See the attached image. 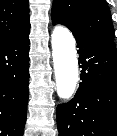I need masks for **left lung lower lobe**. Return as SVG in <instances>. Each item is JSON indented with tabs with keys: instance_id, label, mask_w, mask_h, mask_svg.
Listing matches in <instances>:
<instances>
[{
	"instance_id": "left-lung-lower-lobe-1",
	"label": "left lung lower lobe",
	"mask_w": 117,
	"mask_h": 136,
	"mask_svg": "<svg viewBox=\"0 0 117 136\" xmlns=\"http://www.w3.org/2000/svg\"><path fill=\"white\" fill-rule=\"evenodd\" d=\"M72 33L79 48L82 81L74 98L57 107L59 136H117L116 45Z\"/></svg>"
}]
</instances>
